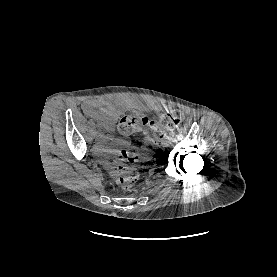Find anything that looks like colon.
<instances>
[{
	"label": "colon",
	"instance_id": "obj_1",
	"mask_svg": "<svg viewBox=\"0 0 277 277\" xmlns=\"http://www.w3.org/2000/svg\"><path fill=\"white\" fill-rule=\"evenodd\" d=\"M182 115L174 110L162 115L150 126L154 136L145 137L141 149L130 147L114 151L112 163V176L117 185L125 190L131 189L137 182L139 173L136 168L127 163L134 164L141 160L142 155L150 156L157 151L159 137L165 130H174L181 123ZM149 124L145 117L139 115H125L118 124V129L123 134H131L143 130Z\"/></svg>",
	"mask_w": 277,
	"mask_h": 277
}]
</instances>
